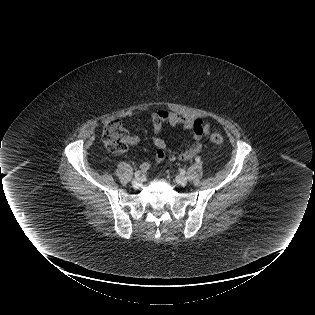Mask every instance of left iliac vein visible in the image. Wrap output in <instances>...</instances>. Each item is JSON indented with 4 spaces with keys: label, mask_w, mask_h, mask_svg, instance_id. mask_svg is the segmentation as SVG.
Here are the masks:
<instances>
[{
    "label": "left iliac vein",
    "mask_w": 315,
    "mask_h": 315,
    "mask_svg": "<svg viewBox=\"0 0 315 315\" xmlns=\"http://www.w3.org/2000/svg\"><path fill=\"white\" fill-rule=\"evenodd\" d=\"M176 182L180 185H186L188 182V178L184 175H178L176 177Z\"/></svg>",
    "instance_id": "obj_1"
}]
</instances>
